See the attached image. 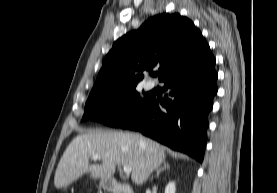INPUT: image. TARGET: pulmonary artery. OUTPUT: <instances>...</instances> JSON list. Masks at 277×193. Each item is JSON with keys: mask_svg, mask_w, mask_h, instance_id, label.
<instances>
[{"mask_svg": "<svg viewBox=\"0 0 277 193\" xmlns=\"http://www.w3.org/2000/svg\"><path fill=\"white\" fill-rule=\"evenodd\" d=\"M154 87H155V83L153 81H148L145 85V88L147 90H152V89H154Z\"/></svg>", "mask_w": 277, "mask_h": 193, "instance_id": "pulmonary-artery-1", "label": "pulmonary artery"}]
</instances>
